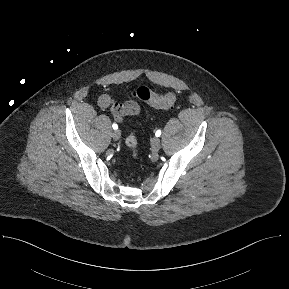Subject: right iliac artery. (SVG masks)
<instances>
[{
    "mask_svg": "<svg viewBox=\"0 0 289 289\" xmlns=\"http://www.w3.org/2000/svg\"><path fill=\"white\" fill-rule=\"evenodd\" d=\"M112 127H113L114 130L118 129V125L116 123H113Z\"/></svg>",
    "mask_w": 289,
    "mask_h": 289,
    "instance_id": "right-iliac-artery-1",
    "label": "right iliac artery"
}]
</instances>
